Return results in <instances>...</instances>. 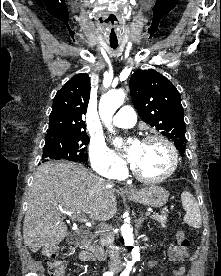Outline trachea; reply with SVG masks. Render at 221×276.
Here are the masks:
<instances>
[{
	"mask_svg": "<svg viewBox=\"0 0 221 276\" xmlns=\"http://www.w3.org/2000/svg\"><path fill=\"white\" fill-rule=\"evenodd\" d=\"M111 34H114V31L111 33ZM110 46L113 48V49H116L118 47V42H110Z\"/></svg>",
	"mask_w": 221,
	"mask_h": 276,
	"instance_id": "1",
	"label": "trachea"
}]
</instances>
